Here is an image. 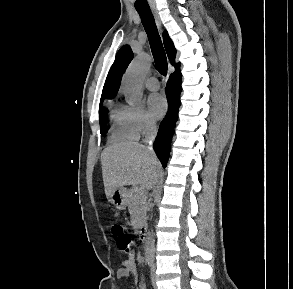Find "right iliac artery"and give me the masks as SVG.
<instances>
[{"label": "right iliac artery", "instance_id": "obj_1", "mask_svg": "<svg viewBox=\"0 0 293 289\" xmlns=\"http://www.w3.org/2000/svg\"><path fill=\"white\" fill-rule=\"evenodd\" d=\"M145 263L150 267L151 264H152V260H151L150 258H147V259L145 260Z\"/></svg>", "mask_w": 293, "mask_h": 289}]
</instances>
